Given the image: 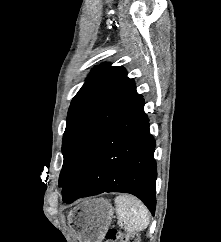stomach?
Wrapping results in <instances>:
<instances>
[{
  "mask_svg": "<svg viewBox=\"0 0 221 242\" xmlns=\"http://www.w3.org/2000/svg\"><path fill=\"white\" fill-rule=\"evenodd\" d=\"M112 205L103 198L83 201L71 211L70 227L79 242H101L113 218Z\"/></svg>",
  "mask_w": 221,
  "mask_h": 242,
  "instance_id": "stomach-1",
  "label": "stomach"
}]
</instances>
